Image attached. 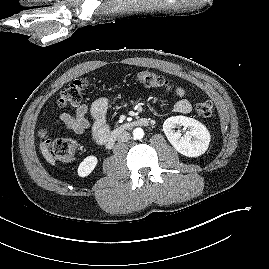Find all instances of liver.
Wrapping results in <instances>:
<instances>
[{
	"instance_id": "obj_1",
	"label": "liver",
	"mask_w": 269,
	"mask_h": 269,
	"mask_svg": "<svg viewBox=\"0 0 269 269\" xmlns=\"http://www.w3.org/2000/svg\"><path fill=\"white\" fill-rule=\"evenodd\" d=\"M40 149L45 160L51 165H55V160L52 155L49 153L47 146L44 143H40Z\"/></svg>"
}]
</instances>
